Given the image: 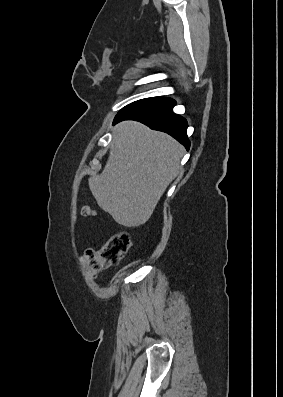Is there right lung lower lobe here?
<instances>
[{
  "instance_id": "right-lung-lower-lobe-1",
  "label": "right lung lower lobe",
  "mask_w": 283,
  "mask_h": 397,
  "mask_svg": "<svg viewBox=\"0 0 283 397\" xmlns=\"http://www.w3.org/2000/svg\"><path fill=\"white\" fill-rule=\"evenodd\" d=\"M174 106L175 101L170 98L152 97L139 100L120 111L113 124L123 120H136L151 129L168 133L183 144L186 149H189L190 141L186 134L187 121L172 111Z\"/></svg>"
}]
</instances>
